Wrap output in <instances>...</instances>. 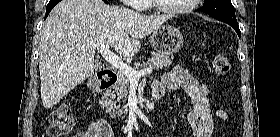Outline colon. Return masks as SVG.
I'll return each mask as SVG.
<instances>
[{"instance_id":"5ec220e1","label":"colon","mask_w":280,"mask_h":137,"mask_svg":"<svg viewBox=\"0 0 280 137\" xmlns=\"http://www.w3.org/2000/svg\"><path fill=\"white\" fill-rule=\"evenodd\" d=\"M230 70V62L225 54H216L213 59V71L215 74L226 75ZM73 125V118L68 114L67 107L61 103L55 106L49 114L47 136L64 137ZM92 133L103 137H113L108 128L97 124L92 128Z\"/></svg>"}]
</instances>
